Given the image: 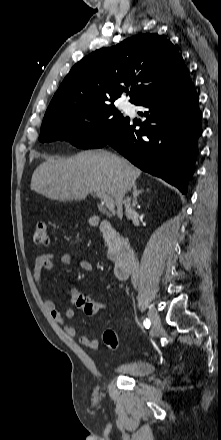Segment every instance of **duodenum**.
Wrapping results in <instances>:
<instances>
[{
	"instance_id": "410a0bca",
	"label": "duodenum",
	"mask_w": 221,
	"mask_h": 440,
	"mask_svg": "<svg viewBox=\"0 0 221 440\" xmlns=\"http://www.w3.org/2000/svg\"><path fill=\"white\" fill-rule=\"evenodd\" d=\"M94 221L98 224L106 240L110 242H117L124 248L123 253L114 267V274L119 280L126 279L131 272L135 260L134 253L128 243V240L124 237H121L118 231L109 222L99 221L97 219Z\"/></svg>"
}]
</instances>
